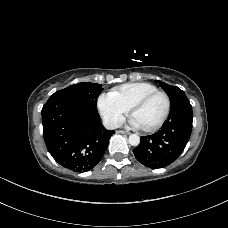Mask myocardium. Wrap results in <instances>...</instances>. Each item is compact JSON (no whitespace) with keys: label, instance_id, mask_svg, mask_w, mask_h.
Masks as SVG:
<instances>
[{"label":"myocardium","instance_id":"myocardium-1","mask_svg":"<svg viewBox=\"0 0 228 228\" xmlns=\"http://www.w3.org/2000/svg\"><path fill=\"white\" fill-rule=\"evenodd\" d=\"M157 95H162L165 98V101H166L165 111H164L162 117L160 118V120L156 124H154L153 126L147 127V128H141L144 132H155L158 129H160L162 127V125L165 123V121L167 120V118L169 116L170 110H171V99H170L169 95L164 91L156 90V91H153V92H150V93L144 95L143 97L138 99L136 102H134L131 105V107L129 108V112L132 115L133 112L137 108L145 105L150 99H152L153 97H155Z\"/></svg>","mask_w":228,"mask_h":228}]
</instances>
